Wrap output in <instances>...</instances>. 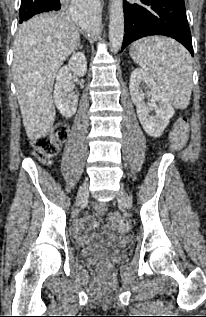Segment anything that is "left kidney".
Listing matches in <instances>:
<instances>
[{
	"label": "left kidney",
	"mask_w": 206,
	"mask_h": 317,
	"mask_svg": "<svg viewBox=\"0 0 206 317\" xmlns=\"http://www.w3.org/2000/svg\"><path fill=\"white\" fill-rule=\"evenodd\" d=\"M141 84H144L149 90L151 101L148 103L144 102V93L140 88ZM129 89L143 129L152 137H160L170 118L174 115L171 103L166 99L152 77L140 68L132 72ZM150 110H154L155 115L150 116Z\"/></svg>",
	"instance_id": "obj_1"
}]
</instances>
